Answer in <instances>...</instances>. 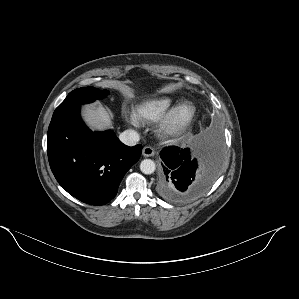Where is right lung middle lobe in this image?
Returning <instances> with one entry per match:
<instances>
[{"mask_svg": "<svg viewBox=\"0 0 299 299\" xmlns=\"http://www.w3.org/2000/svg\"><path fill=\"white\" fill-rule=\"evenodd\" d=\"M109 95L108 90H98L93 87H82L73 90L68 94L65 100L56 108L53 116L71 109L74 106L93 102L96 99H102Z\"/></svg>", "mask_w": 299, "mask_h": 299, "instance_id": "dd1d6c3e", "label": "right lung middle lobe"}]
</instances>
